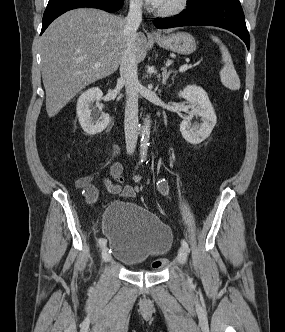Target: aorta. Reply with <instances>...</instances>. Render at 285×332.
Wrapping results in <instances>:
<instances>
[{
  "label": "aorta",
  "mask_w": 285,
  "mask_h": 332,
  "mask_svg": "<svg viewBox=\"0 0 285 332\" xmlns=\"http://www.w3.org/2000/svg\"><path fill=\"white\" fill-rule=\"evenodd\" d=\"M149 139H150V119H149V116H147L144 120L142 138H141V142H140V155L142 158H145L147 155Z\"/></svg>",
  "instance_id": "762f6f07"
}]
</instances>
